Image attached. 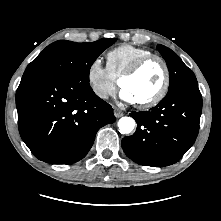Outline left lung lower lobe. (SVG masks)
Listing matches in <instances>:
<instances>
[{"label":"left lung lower lobe","instance_id":"left-lung-lower-lobe-1","mask_svg":"<svg viewBox=\"0 0 221 221\" xmlns=\"http://www.w3.org/2000/svg\"><path fill=\"white\" fill-rule=\"evenodd\" d=\"M202 112L198 85L176 89L149 111L133 112L136 132L123 138L122 148L134 162L152 167L176 163L194 144Z\"/></svg>","mask_w":221,"mask_h":221}]
</instances>
